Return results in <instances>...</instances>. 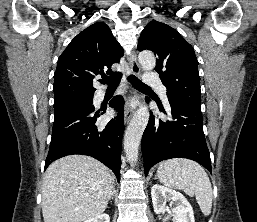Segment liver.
Segmentation results:
<instances>
[{
	"mask_svg": "<svg viewBox=\"0 0 257 222\" xmlns=\"http://www.w3.org/2000/svg\"><path fill=\"white\" fill-rule=\"evenodd\" d=\"M114 185L110 170L92 157L69 155L54 161L43 178L44 222H85L101 215Z\"/></svg>",
	"mask_w": 257,
	"mask_h": 222,
	"instance_id": "liver-1",
	"label": "liver"
}]
</instances>
